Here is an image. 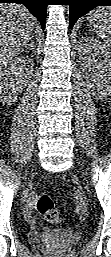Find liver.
<instances>
[{
  "mask_svg": "<svg viewBox=\"0 0 111 257\" xmlns=\"http://www.w3.org/2000/svg\"><path fill=\"white\" fill-rule=\"evenodd\" d=\"M35 18L23 6L0 4V64L8 65L28 45L33 36Z\"/></svg>",
  "mask_w": 111,
  "mask_h": 257,
  "instance_id": "liver-1",
  "label": "liver"
}]
</instances>
